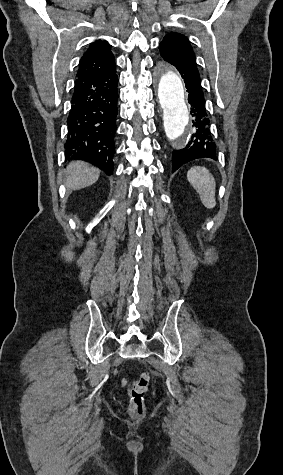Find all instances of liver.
<instances>
[{"label": "liver", "mask_w": 283, "mask_h": 475, "mask_svg": "<svg viewBox=\"0 0 283 475\" xmlns=\"http://www.w3.org/2000/svg\"><path fill=\"white\" fill-rule=\"evenodd\" d=\"M68 176L66 180L67 188L71 190H81L95 184L99 178L98 168H89L86 162H71L67 168Z\"/></svg>", "instance_id": "obj_1"}]
</instances>
